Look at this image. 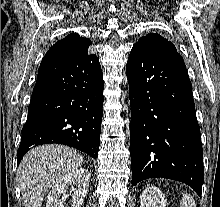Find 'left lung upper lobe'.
I'll use <instances>...</instances> for the list:
<instances>
[{
  "mask_svg": "<svg viewBox=\"0 0 220 207\" xmlns=\"http://www.w3.org/2000/svg\"><path fill=\"white\" fill-rule=\"evenodd\" d=\"M135 45L160 52L178 53L172 42L155 33L141 37Z\"/></svg>",
  "mask_w": 220,
  "mask_h": 207,
  "instance_id": "obj_1",
  "label": "left lung upper lobe"
}]
</instances>
